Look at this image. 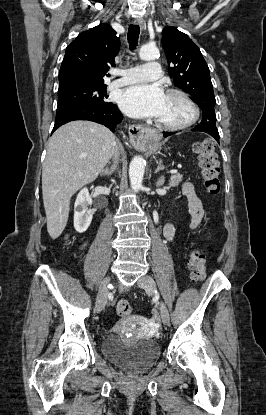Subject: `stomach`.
<instances>
[{
	"instance_id": "0dacf381",
	"label": "stomach",
	"mask_w": 266,
	"mask_h": 415,
	"mask_svg": "<svg viewBox=\"0 0 266 415\" xmlns=\"http://www.w3.org/2000/svg\"><path fill=\"white\" fill-rule=\"evenodd\" d=\"M146 145H148V139L143 144V146H146ZM139 147H142V146H139Z\"/></svg>"
}]
</instances>
